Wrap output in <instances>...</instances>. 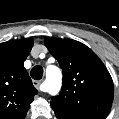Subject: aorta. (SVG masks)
I'll return each mask as SVG.
<instances>
[{"label": "aorta", "instance_id": "aorta-1", "mask_svg": "<svg viewBox=\"0 0 119 119\" xmlns=\"http://www.w3.org/2000/svg\"><path fill=\"white\" fill-rule=\"evenodd\" d=\"M62 74L58 67L49 66L46 69V80L45 84L47 91L51 95H55L59 92L61 88Z\"/></svg>", "mask_w": 119, "mask_h": 119}]
</instances>
